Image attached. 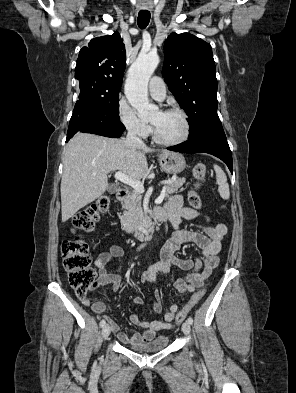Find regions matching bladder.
Returning a JSON list of instances; mask_svg holds the SVG:
<instances>
[{
	"label": "bladder",
	"mask_w": 296,
	"mask_h": 393,
	"mask_svg": "<svg viewBox=\"0 0 296 393\" xmlns=\"http://www.w3.org/2000/svg\"><path fill=\"white\" fill-rule=\"evenodd\" d=\"M169 343L167 336L161 335L153 338L151 341L137 346H130V350L141 353H153L158 352L166 348Z\"/></svg>",
	"instance_id": "obj_1"
}]
</instances>
